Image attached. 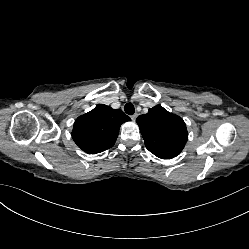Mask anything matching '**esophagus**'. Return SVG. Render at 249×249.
<instances>
[{
    "label": "esophagus",
    "instance_id": "34e87169",
    "mask_svg": "<svg viewBox=\"0 0 249 249\" xmlns=\"http://www.w3.org/2000/svg\"><path fill=\"white\" fill-rule=\"evenodd\" d=\"M136 118H137V114H134V115L131 116L132 121H135Z\"/></svg>",
    "mask_w": 249,
    "mask_h": 249
}]
</instances>
